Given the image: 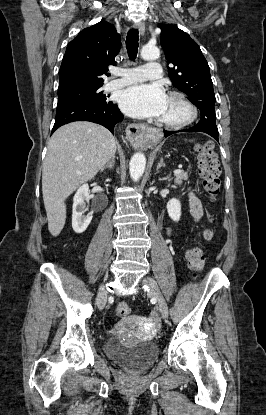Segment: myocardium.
<instances>
[{
  "label": "myocardium",
  "instance_id": "myocardium-1",
  "mask_svg": "<svg viewBox=\"0 0 266 415\" xmlns=\"http://www.w3.org/2000/svg\"><path fill=\"white\" fill-rule=\"evenodd\" d=\"M169 99L176 100L181 105H183L188 114L187 117L178 122H168L163 120H158V125L166 129H182L184 127L192 124L197 118V108L195 105L181 92L171 91L168 96Z\"/></svg>",
  "mask_w": 266,
  "mask_h": 415
}]
</instances>
